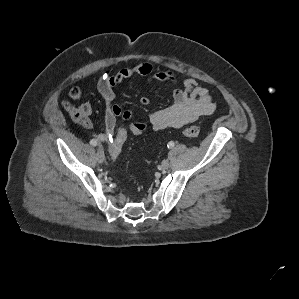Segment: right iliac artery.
<instances>
[{
	"mask_svg": "<svg viewBox=\"0 0 299 299\" xmlns=\"http://www.w3.org/2000/svg\"><path fill=\"white\" fill-rule=\"evenodd\" d=\"M90 144H91L92 146H96V145H97V140H96V139H92V140L90 141Z\"/></svg>",
	"mask_w": 299,
	"mask_h": 299,
	"instance_id": "obj_1",
	"label": "right iliac artery"
}]
</instances>
